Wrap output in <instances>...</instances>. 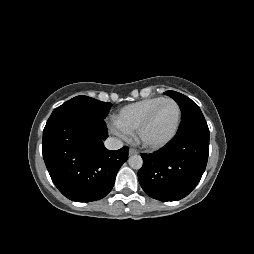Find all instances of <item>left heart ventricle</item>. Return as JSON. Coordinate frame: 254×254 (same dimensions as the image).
Here are the masks:
<instances>
[{"instance_id":"1","label":"left heart ventricle","mask_w":254,"mask_h":254,"mask_svg":"<svg viewBox=\"0 0 254 254\" xmlns=\"http://www.w3.org/2000/svg\"><path fill=\"white\" fill-rule=\"evenodd\" d=\"M178 116L175 104L164 103L155 114L152 122L144 132V138L152 143L160 142L173 131Z\"/></svg>"}]
</instances>
